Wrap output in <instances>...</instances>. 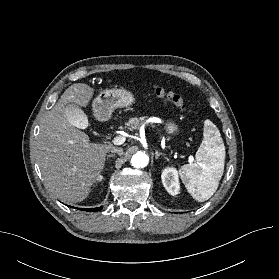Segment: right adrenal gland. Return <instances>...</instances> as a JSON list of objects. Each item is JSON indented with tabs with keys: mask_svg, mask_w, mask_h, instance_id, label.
Returning <instances> with one entry per match:
<instances>
[{
	"mask_svg": "<svg viewBox=\"0 0 279 279\" xmlns=\"http://www.w3.org/2000/svg\"><path fill=\"white\" fill-rule=\"evenodd\" d=\"M115 157V154H110L107 156V160H109L110 158Z\"/></svg>",
	"mask_w": 279,
	"mask_h": 279,
	"instance_id": "right-adrenal-gland-1",
	"label": "right adrenal gland"
}]
</instances>
